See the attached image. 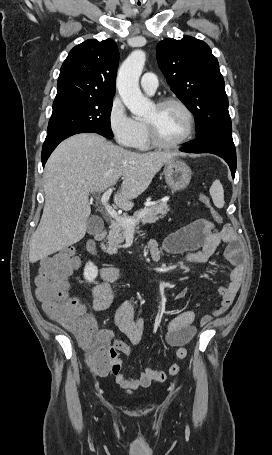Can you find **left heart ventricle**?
<instances>
[{"instance_id": "b2bd125f", "label": "left heart ventricle", "mask_w": 272, "mask_h": 455, "mask_svg": "<svg viewBox=\"0 0 272 455\" xmlns=\"http://www.w3.org/2000/svg\"><path fill=\"white\" fill-rule=\"evenodd\" d=\"M145 121L154 125L158 137L166 143L180 140L187 131V118L184 112L175 105L163 108L153 106Z\"/></svg>"}]
</instances>
